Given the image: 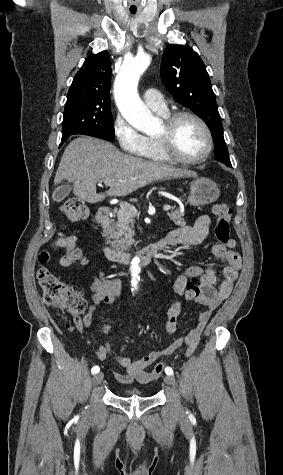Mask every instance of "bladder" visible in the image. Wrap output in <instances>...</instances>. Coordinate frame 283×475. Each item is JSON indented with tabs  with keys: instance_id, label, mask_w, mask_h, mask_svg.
<instances>
[{
	"instance_id": "obj_1",
	"label": "bladder",
	"mask_w": 283,
	"mask_h": 475,
	"mask_svg": "<svg viewBox=\"0 0 283 475\" xmlns=\"http://www.w3.org/2000/svg\"><path fill=\"white\" fill-rule=\"evenodd\" d=\"M123 396L126 398L136 397V398H145V394L138 388L126 389L123 391Z\"/></svg>"
}]
</instances>
